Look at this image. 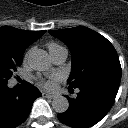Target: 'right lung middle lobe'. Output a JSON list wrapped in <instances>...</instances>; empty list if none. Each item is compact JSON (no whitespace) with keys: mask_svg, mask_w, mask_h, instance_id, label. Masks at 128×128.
I'll return each instance as SVG.
<instances>
[{"mask_svg":"<svg viewBox=\"0 0 128 128\" xmlns=\"http://www.w3.org/2000/svg\"><path fill=\"white\" fill-rule=\"evenodd\" d=\"M22 55L0 51V84L7 83L17 66L22 63Z\"/></svg>","mask_w":128,"mask_h":128,"instance_id":"obj_1","label":"right lung middle lobe"}]
</instances>
